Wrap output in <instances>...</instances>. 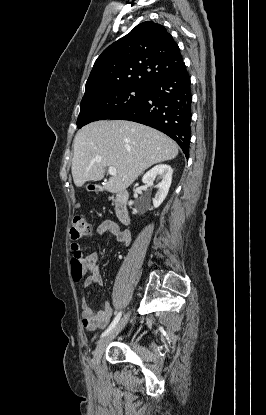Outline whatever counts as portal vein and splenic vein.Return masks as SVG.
<instances>
[{
  "instance_id": "obj_1",
  "label": "portal vein and splenic vein",
  "mask_w": 266,
  "mask_h": 415,
  "mask_svg": "<svg viewBox=\"0 0 266 415\" xmlns=\"http://www.w3.org/2000/svg\"><path fill=\"white\" fill-rule=\"evenodd\" d=\"M108 172H109V174H110V175H112V176H116V175H117L116 168H115V167H113V166H110V167L108 168Z\"/></svg>"
}]
</instances>
